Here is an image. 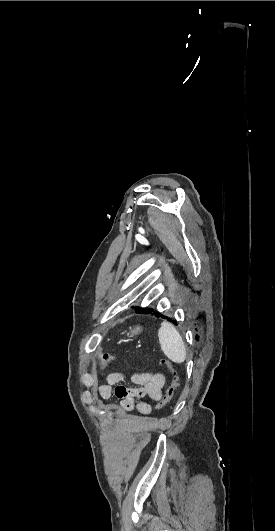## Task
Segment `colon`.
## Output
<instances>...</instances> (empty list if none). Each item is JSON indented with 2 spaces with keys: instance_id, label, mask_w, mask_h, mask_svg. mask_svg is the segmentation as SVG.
Returning <instances> with one entry per match:
<instances>
[{
  "instance_id": "colon-1",
  "label": "colon",
  "mask_w": 275,
  "mask_h": 531,
  "mask_svg": "<svg viewBox=\"0 0 275 531\" xmlns=\"http://www.w3.org/2000/svg\"><path fill=\"white\" fill-rule=\"evenodd\" d=\"M113 353H110L108 350H103L98 360V368L101 372H104L107 365L111 362ZM160 365L166 367L169 370L171 375V382L169 383L165 395L160 398L157 406L155 408L156 413H163L164 409L170 405L174 400V395L178 388V374L176 369L170 364L167 360H161Z\"/></svg>"
}]
</instances>
